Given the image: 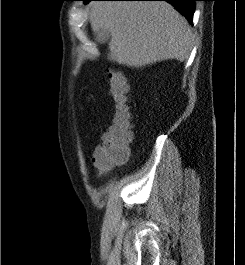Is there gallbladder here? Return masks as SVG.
<instances>
[{
  "label": "gallbladder",
  "mask_w": 245,
  "mask_h": 265,
  "mask_svg": "<svg viewBox=\"0 0 245 265\" xmlns=\"http://www.w3.org/2000/svg\"><path fill=\"white\" fill-rule=\"evenodd\" d=\"M94 34H95V40L100 44L107 42L110 38L109 31L104 29H99L97 31H94Z\"/></svg>",
  "instance_id": "1"
}]
</instances>
